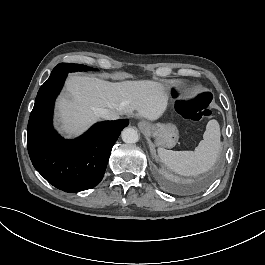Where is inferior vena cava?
<instances>
[{"instance_id": "1", "label": "inferior vena cava", "mask_w": 265, "mask_h": 265, "mask_svg": "<svg viewBox=\"0 0 265 265\" xmlns=\"http://www.w3.org/2000/svg\"><path fill=\"white\" fill-rule=\"evenodd\" d=\"M98 113L101 118L108 120H116L119 118V114L117 112L108 108L100 109Z\"/></svg>"}]
</instances>
